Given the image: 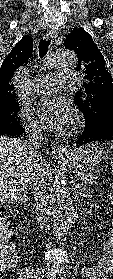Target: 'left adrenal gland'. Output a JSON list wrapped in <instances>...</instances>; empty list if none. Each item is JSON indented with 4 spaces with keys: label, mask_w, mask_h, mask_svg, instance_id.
I'll return each mask as SVG.
<instances>
[{
    "label": "left adrenal gland",
    "mask_w": 113,
    "mask_h": 279,
    "mask_svg": "<svg viewBox=\"0 0 113 279\" xmlns=\"http://www.w3.org/2000/svg\"><path fill=\"white\" fill-rule=\"evenodd\" d=\"M75 189L77 190V192H78L79 195H81V194L84 195V191H85V188H84V187L82 188L81 185L76 184V185H75Z\"/></svg>",
    "instance_id": "obj_1"
}]
</instances>
